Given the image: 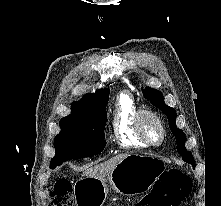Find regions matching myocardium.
<instances>
[{
  "instance_id": "f54148a6",
  "label": "myocardium",
  "mask_w": 221,
  "mask_h": 206,
  "mask_svg": "<svg viewBox=\"0 0 221 206\" xmlns=\"http://www.w3.org/2000/svg\"><path fill=\"white\" fill-rule=\"evenodd\" d=\"M148 119L153 120L158 125V127L160 128L161 137H160V140L158 142L151 141L148 138L147 134H146L144 121L148 120ZM135 128H136L137 134L139 135L141 140L147 146L159 147L164 143V141L166 139V128H165L163 120L160 118V116L158 114H156L155 112H153L151 110L140 109L137 112V114L135 116Z\"/></svg>"
}]
</instances>
